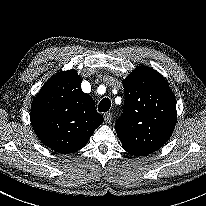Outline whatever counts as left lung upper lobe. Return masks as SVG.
<instances>
[{"label":"left lung upper lobe","mask_w":206,"mask_h":206,"mask_svg":"<svg viewBox=\"0 0 206 206\" xmlns=\"http://www.w3.org/2000/svg\"><path fill=\"white\" fill-rule=\"evenodd\" d=\"M124 109L116 122L122 147L130 154L146 156L171 137L177 111L168 82L147 66L136 68L123 80Z\"/></svg>","instance_id":"5c2ea615"}]
</instances>
